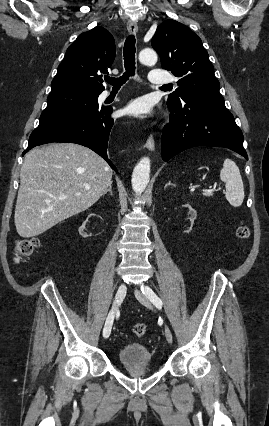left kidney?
Masks as SVG:
<instances>
[{
	"instance_id": "obj_1",
	"label": "left kidney",
	"mask_w": 269,
	"mask_h": 426,
	"mask_svg": "<svg viewBox=\"0 0 269 426\" xmlns=\"http://www.w3.org/2000/svg\"><path fill=\"white\" fill-rule=\"evenodd\" d=\"M183 207L188 209V214L190 216L188 219L191 222V226L184 231L185 233H189L192 230V225L197 217V212L188 203L184 204Z\"/></svg>"
}]
</instances>
